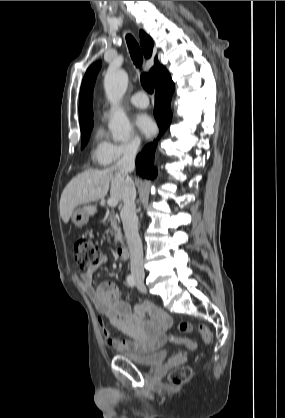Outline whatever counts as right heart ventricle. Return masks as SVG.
I'll use <instances>...</instances> for the list:
<instances>
[{"label":"right heart ventricle","mask_w":285,"mask_h":418,"mask_svg":"<svg viewBox=\"0 0 285 418\" xmlns=\"http://www.w3.org/2000/svg\"><path fill=\"white\" fill-rule=\"evenodd\" d=\"M111 142L106 138L103 130L99 127L95 130L92 137L91 160L93 163L105 166L107 151L111 146Z\"/></svg>","instance_id":"obj_1"}]
</instances>
